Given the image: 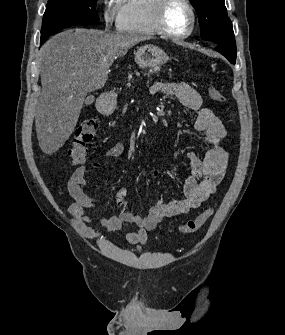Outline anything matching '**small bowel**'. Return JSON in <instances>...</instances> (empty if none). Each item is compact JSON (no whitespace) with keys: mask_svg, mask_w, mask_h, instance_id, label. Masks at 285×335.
Instances as JSON below:
<instances>
[{"mask_svg":"<svg viewBox=\"0 0 285 335\" xmlns=\"http://www.w3.org/2000/svg\"><path fill=\"white\" fill-rule=\"evenodd\" d=\"M150 91L153 94L163 93L176 97L182 106L196 111L194 128L203 134L206 154L203 158L194 152L187 154L192 175L185 182L183 198L170 202L159 200L150 207L146 216H140L126 210L128 195L126 188L117 192L116 199L120 214L102 217L97 222L101 228L113 232L119 231L124 223L135 224L137 229L125 235L126 240L134 245L145 244L148 239V231L154 229L162 220L186 214L204 203L216 191L223 179L228 161V153L221 146V142L227 134L226 129L211 109L202 106V97L192 86L185 82H158L151 87ZM124 150V144L116 142L105 151V156L110 159L119 158ZM111 166L110 162H93L90 167L80 166L69 180V192L74 203L70 205L68 211L79 232L90 240L98 239L100 234L91 226L93 220L86 214V209L96 208L98 201L86 195L83 187L87 182L90 170Z\"/></svg>","mask_w":285,"mask_h":335,"instance_id":"small-bowel-1","label":"small bowel"}]
</instances>
